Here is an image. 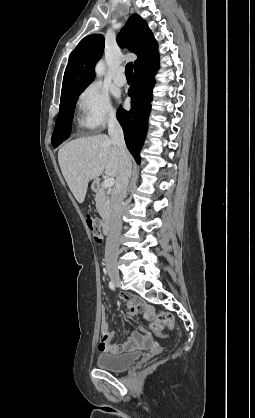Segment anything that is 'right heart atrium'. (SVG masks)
I'll use <instances>...</instances> for the list:
<instances>
[{
	"instance_id": "d8ad5b80",
	"label": "right heart atrium",
	"mask_w": 255,
	"mask_h": 418,
	"mask_svg": "<svg viewBox=\"0 0 255 418\" xmlns=\"http://www.w3.org/2000/svg\"><path fill=\"white\" fill-rule=\"evenodd\" d=\"M79 126L94 131L116 119L109 95L100 85L92 83L79 95L77 101Z\"/></svg>"
}]
</instances>
